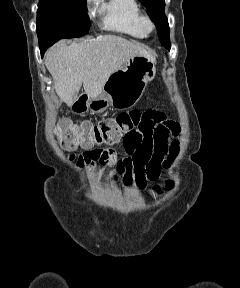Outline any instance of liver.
Here are the masks:
<instances>
[{
  "instance_id": "liver-1",
  "label": "liver",
  "mask_w": 240,
  "mask_h": 288,
  "mask_svg": "<svg viewBox=\"0 0 240 288\" xmlns=\"http://www.w3.org/2000/svg\"><path fill=\"white\" fill-rule=\"evenodd\" d=\"M153 58L143 47L116 35L66 44L61 40L48 49L45 65L60 99L71 107L83 84L88 98L98 97L109 77L131 57ZM154 59V58H153Z\"/></svg>"
}]
</instances>
